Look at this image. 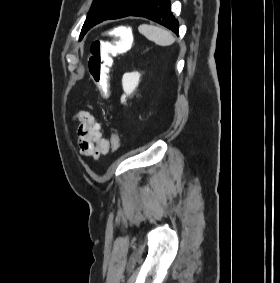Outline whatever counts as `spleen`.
Returning <instances> with one entry per match:
<instances>
[{
	"mask_svg": "<svg viewBox=\"0 0 280 283\" xmlns=\"http://www.w3.org/2000/svg\"><path fill=\"white\" fill-rule=\"evenodd\" d=\"M138 30L147 39L159 46H169L175 42L174 37L169 31L157 26L142 24Z\"/></svg>",
	"mask_w": 280,
	"mask_h": 283,
	"instance_id": "obj_1",
	"label": "spleen"
}]
</instances>
